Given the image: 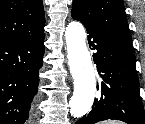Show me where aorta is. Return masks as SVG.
<instances>
[{"label":"aorta","instance_id":"aorta-1","mask_svg":"<svg viewBox=\"0 0 145 124\" xmlns=\"http://www.w3.org/2000/svg\"><path fill=\"white\" fill-rule=\"evenodd\" d=\"M86 31L77 21L70 22L65 31L68 63L74 81L73 95L69 101L70 114L74 118L84 116L91 109L96 79L90 53L86 47Z\"/></svg>","mask_w":145,"mask_h":124}]
</instances>
